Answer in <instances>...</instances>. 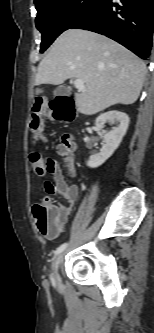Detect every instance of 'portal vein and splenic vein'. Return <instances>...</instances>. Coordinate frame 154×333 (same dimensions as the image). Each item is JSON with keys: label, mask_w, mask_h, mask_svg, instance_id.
<instances>
[{"label": "portal vein and splenic vein", "mask_w": 154, "mask_h": 333, "mask_svg": "<svg viewBox=\"0 0 154 333\" xmlns=\"http://www.w3.org/2000/svg\"><path fill=\"white\" fill-rule=\"evenodd\" d=\"M74 86L79 90V91H85V86L84 83L81 79H76L74 81Z\"/></svg>", "instance_id": "obj_1"}]
</instances>
